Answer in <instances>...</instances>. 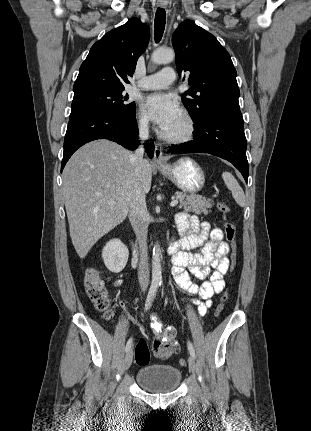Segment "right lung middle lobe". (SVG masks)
I'll use <instances>...</instances> for the list:
<instances>
[{
    "mask_svg": "<svg viewBox=\"0 0 311 431\" xmlns=\"http://www.w3.org/2000/svg\"><path fill=\"white\" fill-rule=\"evenodd\" d=\"M124 90H85L74 93L71 114L86 110H102L122 115H131L135 112V102H127L128 95Z\"/></svg>",
    "mask_w": 311,
    "mask_h": 431,
    "instance_id": "1",
    "label": "right lung middle lobe"
}]
</instances>
